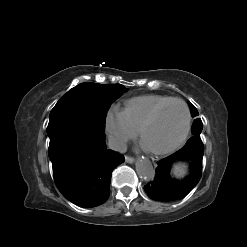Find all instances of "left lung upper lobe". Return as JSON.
<instances>
[{
    "instance_id": "obj_1",
    "label": "left lung upper lobe",
    "mask_w": 247,
    "mask_h": 247,
    "mask_svg": "<svg viewBox=\"0 0 247 247\" xmlns=\"http://www.w3.org/2000/svg\"><path fill=\"white\" fill-rule=\"evenodd\" d=\"M189 107L191 110L192 117L196 118L192 124V133L194 136L200 137V133H201L202 128H203V123H202L201 119H199L197 117L199 115V113H198L197 109L194 107V105L192 103H189Z\"/></svg>"
}]
</instances>
